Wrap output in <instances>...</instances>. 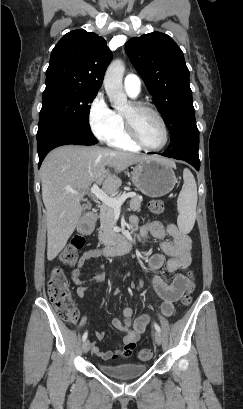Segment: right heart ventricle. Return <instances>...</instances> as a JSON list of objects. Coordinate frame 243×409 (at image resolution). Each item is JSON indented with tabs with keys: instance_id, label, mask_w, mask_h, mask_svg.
Returning <instances> with one entry per match:
<instances>
[{
	"instance_id": "obj_1",
	"label": "right heart ventricle",
	"mask_w": 243,
	"mask_h": 409,
	"mask_svg": "<svg viewBox=\"0 0 243 409\" xmlns=\"http://www.w3.org/2000/svg\"><path fill=\"white\" fill-rule=\"evenodd\" d=\"M128 95L130 97H132V98L137 97V96H132L130 94H128ZM110 143H111V145L113 147L123 149V150L136 151L137 149H139V146H137L135 143H133L129 139V137H128L127 133H126V129L124 128L123 124H122V127H121L119 133L117 134V136L112 141H110Z\"/></svg>"
}]
</instances>
